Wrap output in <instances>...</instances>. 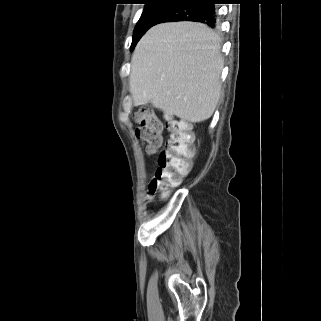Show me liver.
I'll list each match as a JSON object with an SVG mask.
<instances>
[{"mask_svg":"<svg viewBox=\"0 0 321 321\" xmlns=\"http://www.w3.org/2000/svg\"><path fill=\"white\" fill-rule=\"evenodd\" d=\"M220 50L219 36L204 24L184 21L152 27L132 56L134 105L151 103L192 123L209 119L221 92Z\"/></svg>","mask_w":321,"mask_h":321,"instance_id":"liver-1","label":"liver"}]
</instances>
